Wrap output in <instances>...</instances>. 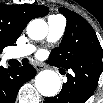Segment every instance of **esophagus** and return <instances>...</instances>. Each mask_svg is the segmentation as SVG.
I'll list each match as a JSON object with an SVG mask.
<instances>
[{"mask_svg": "<svg viewBox=\"0 0 103 103\" xmlns=\"http://www.w3.org/2000/svg\"><path fill=\"white\" fill-rule=\"evenodd\" d=\"M34 67H35V69H36L37 71H40V70H42V69L44 68V65H43L42 63H36V64L34 65Z\"/></svg>", "mask_w": 103, "mask_h": 103, "instance_id": "34e87169", "label": "esophagus"}]
</instances>
